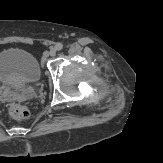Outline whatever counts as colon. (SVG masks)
<instances>
[{
  "label": "colon",
  "instance_id": "colon-1",
  "mask_svg": "<svg viewBox=\"0 0 163 163\" xmlns=\"http://www.w3.org/2000/svg\"><path fill=\"white\" fill-rule=\"evenodd\" d=\"M11 115L16 119H25L29 115L28 108L20 103H15L10 109Z\"/></svg>",
  "mask_w": 163,
  "mask_h": 163
}]
</instances>
